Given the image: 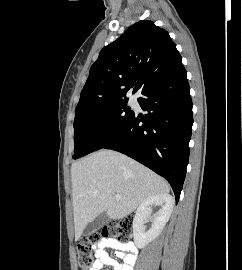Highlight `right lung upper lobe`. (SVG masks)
Masks as SVG:
<instances>
[{"label": "right lung upper lobe", "mask_w": 242, "mask_h": 270, "mask_svg": "<svg viewBox=\"0 0 242 270\" xmlns=\"http://www.w3.org/2000/svg\"><path fill=\"white\" fill-rule=\"evenodd\" d=\"M179 64L181 56L168 32L152 21H139L100 51L75 113L127 99L132 88L133 93L142 92Z\"/></svg>", "instance_id": "1"}]
</instances>
